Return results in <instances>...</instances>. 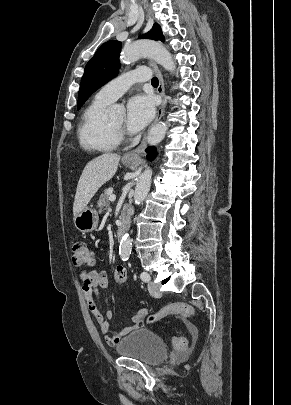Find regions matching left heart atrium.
I'll return each mask as SVG.
<instances>
[{
  "mask_svg": "<svg viewBox=\"0 0 291 405\" xmlns=\"http://www.w3.org/2000/svg\"><path fill=\"white\" fill-rule=\"evenodd\" d=\"M154 102L146 95H135L127 104L126 128L130 133H138L152 120Z\"/></svg>",
  "mask_w": 291,
  "mask_h": 405,
  "instance_id": "39dd6f15",
  "label": "left heart atrium"
}]
</instances>
